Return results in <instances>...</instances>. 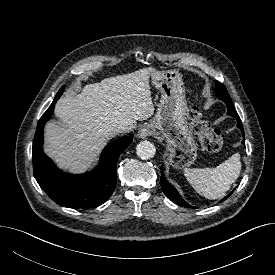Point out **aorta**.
Here are the masks:
<instances>
[{
  "instance_id": "aorta-1",
  "label": "aorta",
  "mask_w": 275,
  "mask_h": 275,
  "mask_svg": "<svg viewBox=\"0 0 275 275\" xmlns=\"http://www.w3.org/2000/svg\"><path fill=\"white\" fill-rule=\"evenodd\" d=\"M156 149L153 143L149 141H141L136 146V154L139 158L146 160L155 155Z\"/></svg>"
}]
</instances>
